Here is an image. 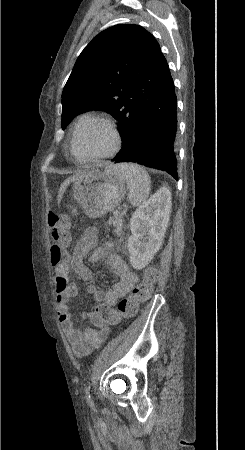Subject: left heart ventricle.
I'll return each mask as SVG.
<instances>
[{
	"mask_svg": "<svg viewBox=\"0 0 245 450\" xmlns=\"http://www.w3.org/2000/svg\"><path fill=\"white\" fill-rule=\"evenodd\" d=\"M113 144V136L104 125L84 127L76 141V150L84 156L105 154Z\"/></svg>",
	"mask_w": 245,
	"mask_h": 450,
	"instance_id": "left-heart-ventricle-1",
	"label": "left heart ventricle"
}]
</instances>
